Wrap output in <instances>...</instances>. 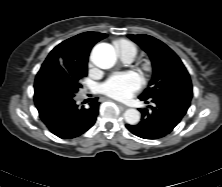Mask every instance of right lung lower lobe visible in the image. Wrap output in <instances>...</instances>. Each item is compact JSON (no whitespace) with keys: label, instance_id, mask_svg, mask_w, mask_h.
<instances>
[{"label":"right lung lower lobe","instance_id":"obj_1","mask_svg":"<svg viewBox=\"0 0 222 187\" xmlns=\"http://www.w3.org/2000/svg\"><path fill=\"white\" fill-rule=\"evenodd\" d=\"M34 101L47 128L62 139L77 137L91 128L97 118L98 98L89 107H79L75 96L78 87L58 63L40 70L35 81Z\"/></svg>","mask_w":222,"mask_h":187}]
</instances>
